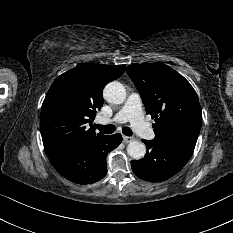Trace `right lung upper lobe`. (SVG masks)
<instances>
[{"label": "right lung upper lobe", "instance_id": "obj_1", "mask_svg": "<svg viewBox=\"0 0 233 233\" xmlns=\"http://www.w3.org/2000/svg\"><path fill=\"white\" fill-rule=\"evenodd\" d=\"M125 66L83 64L60 75L41 109L40 130L47 155L103 136L90 124L103 105L102 91Z\"/></svg>", "mask_w": 233, "mask_h": 233}]
</instances>
